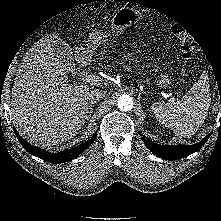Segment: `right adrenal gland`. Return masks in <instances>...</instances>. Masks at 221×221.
I'll return each mask as SVG.
<instances>
[{
    "label": "right adrenal gland",
    "instance_id": "1",
    "mask_svg": "<svg viewBox=\"0 0 221 221\" xmlns=\"http://www.w3.org/2000/svg\"><path fill=\"white\" fill-rule=\"evenodd\" d=\"M95 104H96V101L91 100V101L88 102L87 108L89 110L86 112V120H88L91 117V115L93 113V107H94Z\"/></svg>",
    "mask_w": 221,
    "mask_h": 221
}]
</instances>
